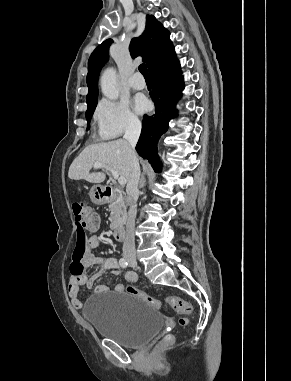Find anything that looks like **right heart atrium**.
Listing matches in <instances>:
<instances>
[{"instance_id":"d8ad5b80","label":"right heart atrium","mask_w":291,"mask_h":381,"mask_svg":"<svg viewBox=\"0 0 291 381\" xmlns=\"http://www.w3.org/2000/svg\"><path fill=\"white\" fill-rule=\"evenodd\" d=\"M94 118L100 135L106 139L119 137L125 132L136 131L141 127L140 119L125 100L101 99Z\"/></svg>"}]
</instances>
